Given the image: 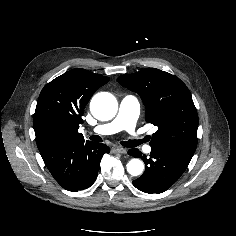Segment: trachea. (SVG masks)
<instances>
[{"label":"trachea","mask_w":236,"mask_h":236,"mask_svg":"<svg viewBox=\"0 0 236 236\" xmlns=\"http://www.w3.org/2000/svg\"><path fill=\"white\" fill-rule=\"evenodd\" d=\"M90 139L95 142H102V138L98 135L91 136ZM143 141L142 140H128V141H121L120 144L125 147H136L140 145Z\"/></svg>","instance_id":"trachea-1"}]
</instances>
